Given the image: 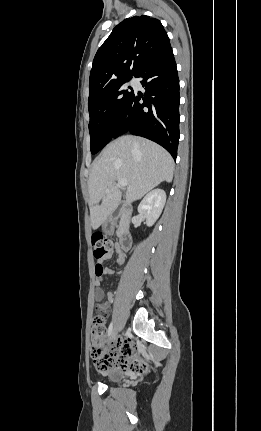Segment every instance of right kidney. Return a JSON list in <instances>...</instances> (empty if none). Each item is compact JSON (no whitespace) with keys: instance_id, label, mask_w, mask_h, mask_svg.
Instances as JSON below:
<instances>
[{"instance_id":"right-kidney-1","label":"right kidney","mask_w":261,"mask_h":431,"mask_svg":"<svg viewBox=\"0 0 261 431\" xmlns=\"http://www.w3.org/2000/svg\"><path fill=\"white\" fill-rule=\"evenodd\" d=\"M166 202V193L162 189L149 192L138 207L139 213L146 219L147 226H152L159 218Z\"/></svg>"}]
</instances>
